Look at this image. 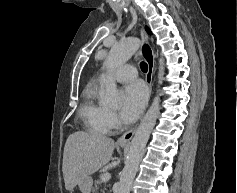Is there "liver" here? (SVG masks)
Returning <instances> with one entry per match:
<instances>
[{"label": "liver", "instance_id": "1", "mask_svg": "<svg viewBox=\"0 0 237 193\" xmlns=\"http://www.w3.org/2000/svg\"><path fill=\"white\" fill-rule=\"evenodd\" d=\"M114 148V140L102 134L72 133L67 138L63 153L62 171L66 190H73L85 177L105 166Z\"/></svg>", "mask_w": 237, "mask_h": 193}]
</instances>
